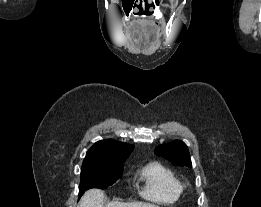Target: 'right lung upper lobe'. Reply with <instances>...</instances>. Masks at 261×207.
<instances>
[{
  "instance_id": "1",
  "label": "right lung upper lobe",
  "mask_w": 261,
  "mask_h": 207,
  "mask_svg": "<svg viewBox=\"0 0 261 207\" xmlns=\"http://www.w3.org/2000/svg\"><path fill=\"white\" fill-rule=\"evenodd\" d=\"M133 148V145L113 139L98 141L87 151L82 166L113 163L118 159L128 157Z\"/></svg>"
}]
</instances>
